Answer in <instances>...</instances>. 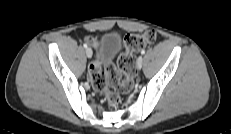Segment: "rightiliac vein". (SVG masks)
<instances>
[{
    "instance_id": "right-iliac-vein-1",
    "label": "right iliac vein",
    "mask_w": 231,
    "mask_h": 134,
    "mask_svg": "<svg viewBox=\"0 0 231 134\" xmlns=\"http://www.w3.org/2000/svg\"><path fill=\"white\" fill-rule=\"evenodd\" d=\"M86 55H87V57L88 58H91L92 57V50H91V48H86Z\"/></svg>"
}]
</instances>
